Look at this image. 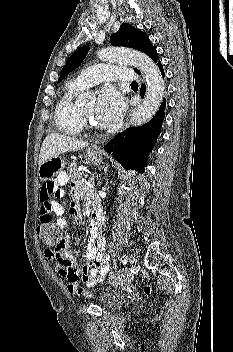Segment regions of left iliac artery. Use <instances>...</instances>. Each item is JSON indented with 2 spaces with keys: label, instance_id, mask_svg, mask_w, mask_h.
Masks as SVG:
<instances>
[{
  "label": "left iliac artery",
  "instance_id": "obj_1",
  "mask_svg": "<svg viewBox=\"0 0 233 352\" xmlns=\"http://www.w3.org/2000/svg\"><path fill=\"white\" fill-rule=\"evenodd\" d=\"M128 256L127 255H123L122 257H121V262L123 263V264H126L127 262H128Z\"/></svg>",
  "mask_w": 233,
  "mask_h": 352
}]
</instances>
